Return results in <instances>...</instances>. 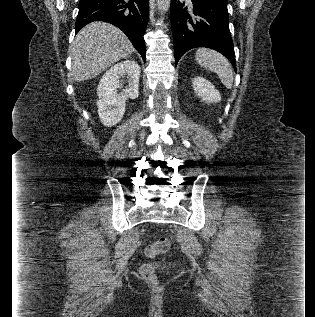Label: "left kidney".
Wrapping results in <instances>:
<instances>
[{
  "label": "left kidney",
  "instance_id": "5707ae66",
  "mask_svg": "<svg viewBox=\"0 0 315 317\" xmlns=\"http://www.w3.org/2000/svg\"><path fill=\"white\" fill-rule=\"evenodd\" d=\"M193 89L196 95L206 103H217L221 100V95L214 85L201 76L192 80Z\"/></svg>",
  "mask_w": 315,
  "mask_h": 317
}]
</instances>
